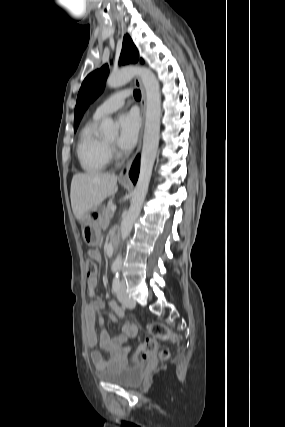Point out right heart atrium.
<instances>
[{"instance_id": "1", "label": "right heart atrium", "mask_w": 285, "mask_h": 427, "mask_svg": "<svg viewBox=\"0 0 285 427\" xmlns=\"http://www.w3.org/2000/svg\"><path fill=\"white\" fill-rule=\"evenodd\" d=\"M111 152H114L113 148L110 149Z\"/></svg>"}]
</instances>
